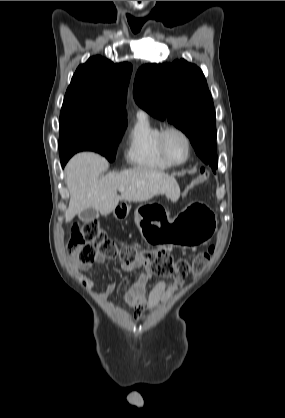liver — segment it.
<instances>
[{
    "label": "liver",
    "instance_id": "6515ba94",
    "mask_svg": "<svg viewBox=\"0 0 285 418\" xmlns=\"http://www.w3.org/2000/svg\"><path fill=\"white\" fill-rule=\"evenodd\" d=\"M108 166L104 157L93 152H82L70 159L66 166V184L70 193L66 222L90 207L106 216L121 200L145 202L165 194L175 202L180 197L177 181L163 171L138 167L99 178ZM121 187L125 190L119 196L117 191Z\"/></svg>",
    "mask_w": 285,
    "mask_h": 418
}]
</instances>
